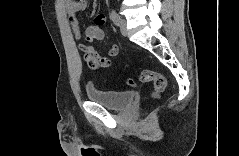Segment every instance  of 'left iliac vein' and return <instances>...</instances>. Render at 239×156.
Here are the masks:
<instances>
[{"label": "left iliac vein", "instance_id": "obj_1", "mask_svg": "<svg viewBox=\"0 0 239 156\" xmlns=\"http://www.w3.org/2000/svg\"><path fill=\"white\" fill-rule=\"evenodd\" d=\"M127 22L125 19H120L119 27L120 31L123 36H127V28H126Z\"/></svg>", "mask_w": 239, "mask_h": 156}]
</instances>
